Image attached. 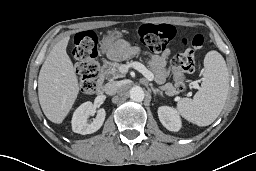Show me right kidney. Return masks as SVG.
Listing matches in <instances>:
<instances>
[{
    "instance_id": "right-kidney-1",
    "label": "right kidney",
    "mask_w": 256,
    "mask_h": 171,
    "mask_svg": "<svg viewBox=\"0 0 256 171\" xmlns=\"http://www.w3.org/2000/svg\"><path fill=\"white\" fill-rule=\"evenodd\" d=\"M97 112V116L93 119V122L88 124L87 118L94 115ZM106 112L105 109L100 108L95 110L92 102L88 101L80 105L74 112L72 117V130L75 133L82 135L91 134L101 128L105 120Z\"/></svg>"
}]
</instances>
